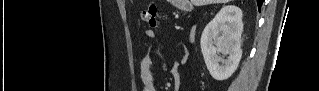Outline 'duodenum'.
Returning a JSON list of instances; mask_svg holds the SVG:
<instances>
[{
    "mask_svg": "<svg viewBox=\"0 0 319 91\" xmlns=\"http://www.w3.org/2000/svg\"><path fill=\"white\" fill-rule=\"evenodd\" d=\"M194 36H195V28H193L191 31V38H193Z\"/></svg>",
    "mask_w": 319,
    "mask_h": 91,
    "instance_id": "duodenum-1",
    "label": "duodenum"
}]
</instances>
